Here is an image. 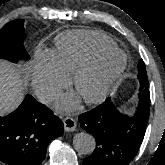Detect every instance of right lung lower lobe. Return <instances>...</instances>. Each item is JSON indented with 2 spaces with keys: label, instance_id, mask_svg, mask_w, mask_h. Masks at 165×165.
Wrapping results in <instances>:
<instances>
[{
  "label": "right lung lower lobe",
  "instance_id": "obj_1",
  "mask_svg": "<svg viewBox=\"0 0 165 165\" xmlns=\"http://www.w3.org/2000/svg\"><path fill=\"white\" fill-rule=\"evenodd\" d=\"M63 131L61 119L27 95L16 111L0 117V161L8 165H40L49 142Z\"/></svg>",
  "mask_w": 165,
  "mask_h": 165
}]
</instances>
